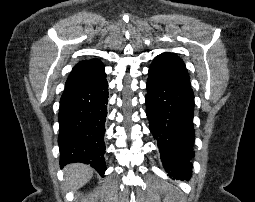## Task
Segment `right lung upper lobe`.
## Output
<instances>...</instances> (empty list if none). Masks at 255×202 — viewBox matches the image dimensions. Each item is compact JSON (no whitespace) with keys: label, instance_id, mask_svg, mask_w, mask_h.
Instances as JSON below:
<instances>
[{"label":"right lung upper lobe","instance_id":"cb5924a9","mask_svg":"<svg viewBox=\"0 0 255 202\" xmlns=\"http://www.w3.org/2000/svg\"><path fill=\"white\" fill-rule=\"evenodd\" d=\"M104 78H106V74L100 60L81 61L74 66L70 73L65 89L93 84Z\"/></svg>","mask_w":255,"mask_h":202}]
</instances>
